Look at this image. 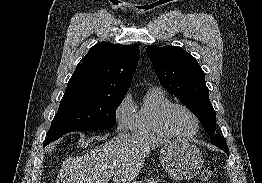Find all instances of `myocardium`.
I'll list each match as a JSON object with an SVG mask.
<instances>
[{"label":"myocardium","mask_w":262,"mask_h":183,"mask_svg":"<svg viewBox=\"0 0 262 183\" xmlns=\"http://www.w3.org/2000/svg\"><path fill=\"white\" fill-rule=\"evenodd\" d=\"M177 108H182L184 110H186L187 112H189L193 118L195 119L196 122V128L192 133H180L178 131H176L171 122H170V117L172 112L177 109ZM161 125L163 127V129L170 134L173 137H177V138H191L193 136H195L201 127V121L198 117V115L196 114V112L190 108L189 106H187L186 104L183 103H171L169 106H167L165 108V110L163 111L162 115H161Z\"/></svg>","instance_id":"1"}]
</instances>
